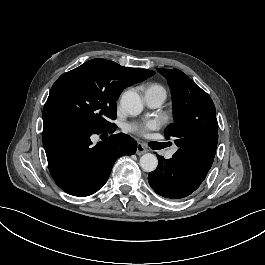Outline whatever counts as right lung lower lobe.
Returning <instances> with one entry per match:
<instances>
[{
	"mask_svg": "<svg viewBox=\"0 0 265 265\" xmlns=\"http://www.w3.org/2000/svg\"><path fill=\"white\" fill-rule=\"evenodd\" d=\"M43 145L56 184L70 195L89 196L104 186L115 161L136 152L137 143L123 133L109 136L95 146V133L63 117H43Z\"/></svg>",
	"mask_w": 265,
	"mask_h": 265,
	"instance_id": "obj_1",
	"label": "right lung lower lobe"
}]
</instances>
